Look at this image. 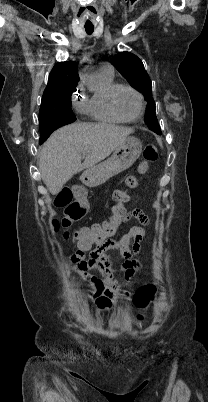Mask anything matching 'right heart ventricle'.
Returning <instances> with one entry per match:
<instances>
[{
    "label": "right heart ventricle",
    "mask_w": 208,
    "mask_h": 402,
    "mask_svg": "<svg viewBox=\"0 0 208 402\" xmlns=\"http://www.w3.org/2000/svg\"><path fill=\"white\" fill-rule=\"evenodd\" d=\"M101 83V90L93 92L87 105L90 122L96 126H117L122 124L111 112L108 97L116 86L113 78L97 74Z\"/></svg>",
    "instance_id": "e07e8e85"
}]
</instances>
